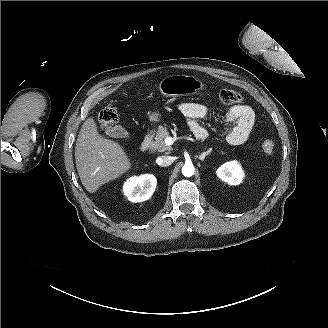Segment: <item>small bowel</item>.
Returning <instances> with one entry per match:
<instances>
[{
    "mask_svg": "<svg viewBox=\"0 0 328 328\" xmlns=\"http://www.w3.org/2000/svg\"><path fill=\"white\" fill-rule=\"evenodd\" d=\"M179 111L186 117L188 125L198 139H204L207 132L198 123V119L206 118L211 110L200 103L186 102L178 106ZM225 121L232 125L227 141L232 145H241L248 139L255 122L253 109L244 104L232 106L225 115Z\"/></svg>",
    "mask_w": 328,
    "mask_h": 328,
    "instance_id": "1",
    "label": "small bowel"
}]
</instances>
